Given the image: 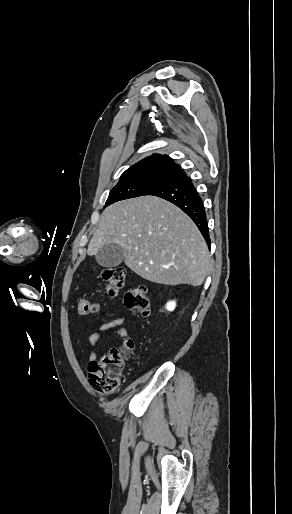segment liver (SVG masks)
Here are the masks:
<instances>
[{"label": "liver", "mask_w": 292, "mask_h": 514, "mask_svg": "<svg viewBox=\"0 0 292 514\" xmlns=\"http://www.w3.org/2000/svg\"><path fill=\"white\" fill-rule=\"evenodd\" d=\"M105 244L122 246L126 266L156 284L201 286L211 272L208 246L197 226L180 208L157 196L105 208L88 256Z\"/></svg>", "instance_id": "liver-1"}]
</instances>
